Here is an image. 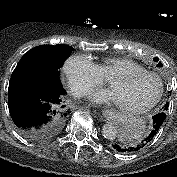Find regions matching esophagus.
Returning a JSON list of instances; mask_svg holds the SVG:
<instances>
[{
	"instance_id": "1",
	"label": "esophagus",
	"mask_w": 177,
	"mask_h": 177,
	"mask_svg": "<svg viewBox=\"0 0 177 177\" xmlns=\"http://www.w3.org/2000/svg\"><path fill=\"white\" fill-rule=\"evenodd\" d=\"M110 114H111V112L108 111V110H104V111H103V115H104V117H106V118H107Z\"/></svg>"
}]
</instances>
